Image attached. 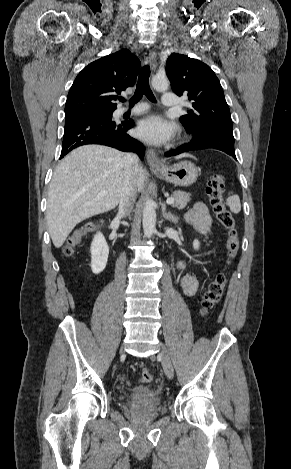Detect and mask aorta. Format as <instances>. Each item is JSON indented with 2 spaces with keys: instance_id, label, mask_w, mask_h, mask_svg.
<instances>
[{
  "instance_id": "1",
  "label": "aorta",
  "mask_w": 291,
  "mask_h": 469,
  "mask_svg": "<svg viewBox=\"0 0 291 469\" xmlns=\"http://www.w3.org/2000/svg\"><path fill=\"white\" fill-rule=\"evenodd\" d=\"M152 86L156 91L164 92L169 87L168 79L165 76H154L152 78ZM143 231L147 238H150L155 232L156 226V211L154 208L153 200H146L143 207Z\"/></svg>"
}]
</instances>
